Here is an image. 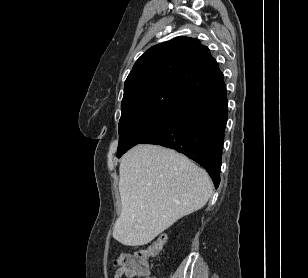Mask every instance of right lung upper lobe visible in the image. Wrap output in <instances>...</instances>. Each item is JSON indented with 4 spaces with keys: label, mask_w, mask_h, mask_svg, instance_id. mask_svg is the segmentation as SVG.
I'll use <instances>...</instances> for the list:
<instances>
[{
    "label": "right lung upper lobe",
    "mask_w": 308,
    "mask_h": 278,
    "mask_svg": "<svg viewBox=\"0 0 308 278\" xmlns=\"http://www.w3.org/2000/svg\"><path fill=\"white\" fill-rule=\"evenodd\" d=\"M224 85L209 49L197 39L177 37L139 57L125 81L120 120L148 110H179Z\"/></svg>",
    "instance_id": "right-lung-upper-lobe-1"
}]
</instances>
